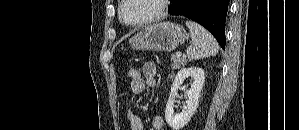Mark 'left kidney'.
Instances as JSON below:
<instances>
[{"mask_svg":"<svg viewBox=\"0 0 299 130\" xmlns=\"http://www.w3.org/2000/svg\"><path fill=\"white\" fill-rule=\"evenodd\" d=\"M187 78H191L193 83L191 84V88L185 94L187 98L185 106L182 112L179 114H174L173 107L177 90ZM204 80L205 74L204 70L201 68H182L178 71L171 86V92L165 110L166 122L173 130H180L182 127H184L195 113Z\"/></svg>","mask_w":299,"mask_h":130,"instance_id":"1","label":"left kidney"}]
</instances>
